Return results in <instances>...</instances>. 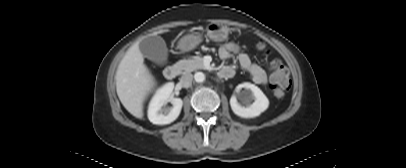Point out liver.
Here are the masks:
<instances>
[{
  "label": "liver",
  "mask_w": 406,
  "mask_h": 168,
  "mask_svg": "<svg viewBox=\"0 0 406 168\" xmlns=\"http://www.w3.org/2000/svg\"><path fill=\"white\" fill-rule=\"evenodd\" d=\"M159 31L158 33L166 32ZM154 35H157L155 33ZM117 95L126 110L138 119L143 118V103L156 85L154 77L144 64L139 43L132 45L120 61L116 75Z\"/></svg>",
  "instance_id": "obj_1"
}]
</instances>
